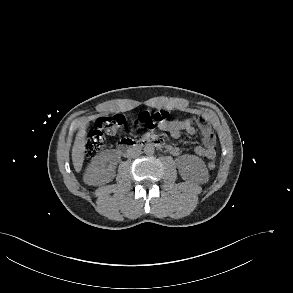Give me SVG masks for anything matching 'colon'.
I'll return each instance as SVG.
<instances>
[{
  "label": "colon",
  "instance_id": "5ec220e1",
  "mask_svg": "<svg viewBox=\"0 0 293 293\" xmlns=\"http://www.w3.org/2000/svg\"><path fill=\"white\" fill-rule=\"evenodd\" d=\"M169 119V112L166 110H146L138 113L134 118V123L145 129H154L162 126ZM124 122L120 114L106 115L100 117L95 127L89 132L86 142V154L94 157L104 148V135L117 132ZM216 166L212 161L208 164L210 170Z\"/></svg>",
  "mask_w": 293,
  "mask_h": 293
}]
</instances>
